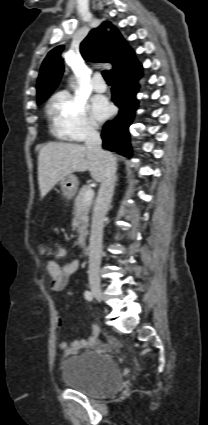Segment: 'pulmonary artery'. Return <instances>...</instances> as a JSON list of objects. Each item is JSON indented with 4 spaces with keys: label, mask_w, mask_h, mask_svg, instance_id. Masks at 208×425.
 Segmentation results:
<instances>
[{
    "label": "pulmonary artery",
    "mask_w": 208,
    "mask_h": 425,
    "mask_svg": "<svg viewBox=\"0 0 208 425\" xmlns=\"http://www.w3.org/2000/svg\"><path fill=\"white\" fill-rule=\"evenodd\" d=\"M92 88L96 92H104L107 89V85L99 73H96L92 78Z\"/></svg>",
    "instance_id": "pulmonary-artery-1"
}]
</instances>
